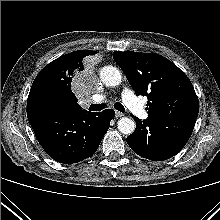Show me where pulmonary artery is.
Here are the masks:
<instances>
[{
	"label": "pulmonary artery",
	"mask_w": 220,
	"mask_h": 220,
	"mask_svg": "<svg viewBox=\"0 0 220 220\" xmlns=\"http://www.w3.org/2000/svg\"><path fill=\"white\" fill-rule=\"evenodd\" d=\"M103 99V96H96L94 98L95 101H100ZM122 99L125 105L139 118L146 119L147 112L144 106L140 103V101L136 98L131 90L125 88L122 92Z\"/></svg>",
	"instance_id": "obj_1"
}]
</instances>
